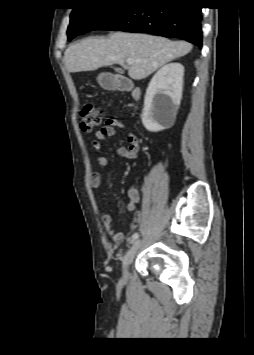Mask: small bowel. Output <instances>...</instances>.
<instances>
[{"label": "small bowel", "mask_w": 254, "mask_h": 355, "mask_svg": "<svg viewBox=\"0 0 254 355\" xmlns=\"http://www.w3.org/2000/svg\"><path fill=\"white\" fill-rule=\"evenodd\" d=\"M117 129H125V126L122 122L116 119H108L106 124L95 133L94 139L92 141V148L96 152H100L102 150V141L106 140L115 135ZM127 146H120L117 149V154L123 158L134 160L137 156L139 150V140L136 135L133 133L127 134ZM107 164V159L103 156H100L96 159V167L102 168ZM101 174L98 171H94L90 176V185L92 188L97 189L101 185ZM128 198L129 202L126 205V209L134 213V218L130 223L129 230L135 231L142 221V215L140 212L135 211L136 204L140 200L139 190L136 184H132L128 190ZM110 199L114 202L115 199L110 196ZM101 221L107 233H109L112 239L116 243L122 242L126 234L120 232L116 228V223L108 213L104 212L101 215Z\"/></svg>", "instance_id": "c3829d8e"}]
</instances>
